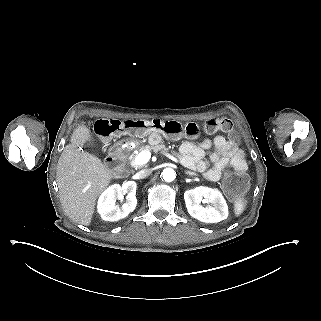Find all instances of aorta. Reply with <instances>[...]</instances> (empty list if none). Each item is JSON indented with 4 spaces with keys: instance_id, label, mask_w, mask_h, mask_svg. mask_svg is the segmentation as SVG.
Listing matches in <instances>:
<instances>
[{
    "instance_id": "aorta-1",
    "label": "aorta",
    "mask_w": 321,
    "mask_h": 321,
    "mask_svg": "<svg viewBox=\"0 0 321 321\" xmlns=\"http://www.w3.org/2000/svg\"><path fill=\"white\" fill-rule=\"evenodd\" d=\"M162 176L166 182H172L176 177V173L172 168H166L163 170Z\"/></svg>"
}]
</instances>
